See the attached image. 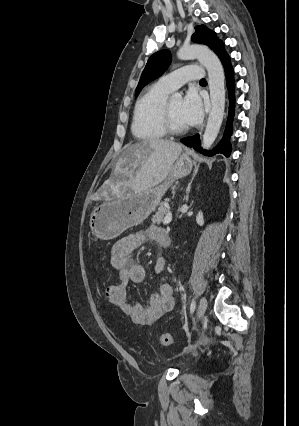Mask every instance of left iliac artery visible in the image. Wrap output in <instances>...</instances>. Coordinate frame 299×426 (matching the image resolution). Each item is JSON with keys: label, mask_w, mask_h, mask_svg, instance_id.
Returning <instances> with one entry per match:
<instances>
[{"label": "left iliac artery", "mask_w": 299, "mask_h": 426, "mask_svg": "<svg viewBox=\"0 0 299 426\" xmlns=\"http://www.w3.org/2000/svg\"><path fill=\"white\" fill-rule=\"evenodd\" d=\"M196 307V303L195 300L192 301L191 305H190V313H193Z\"/></svg>", "instance_id": "left-iliac-artery-1"}]
</instances>
